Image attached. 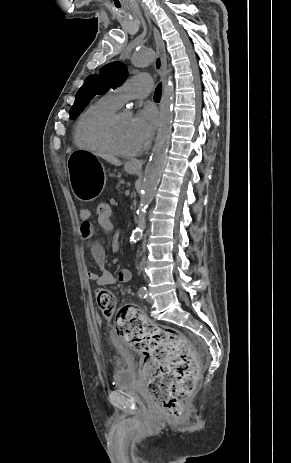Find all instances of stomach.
I'll return each mask as SVG.
<instances>
[{
  "mask_svg": "<svg viewBox=\"0 0 291 463\" xmlns=\"http://www.w3.org/2000/svg\"><path fill=\"white\" fill-rule=\"evenodd\" d=\"M67 170L70 186L76 198L89 202L99 196L103 188L105 171L95 154L82 150L71 152L67 159ZM125 171L135 174L138 169L126 164Z\"/></svg>",
  "mask_w": 291,
  "mask_h": 463,
  "instance_id": "obj_1",
  "label": "stomach"
}]
</instances>
